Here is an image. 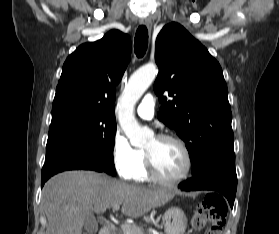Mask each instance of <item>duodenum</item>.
I'll return each mask as SVG.
<instances>
[{
    "mask_svg": "<svg viewBox=\"0 0 279 234\" xmlns=\"http://www.w3.org/2000/svg\"><path fill=\"white\" fill-rule=\"evenodd\" d=\"M114 225L112 223H107L99 232V234H113Z\"/></svg>",
    "mask_w": 279,
    "mask_h": 234,
    "instance_id": "duodenum-1",
    "label": "duodenum"
}]
</instances>
